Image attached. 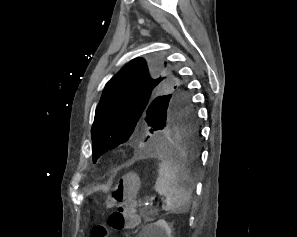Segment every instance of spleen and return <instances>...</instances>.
Here are the masks:
<instances>
[{"label": "spleen", "mask_w": 297, "mask_h": 237, "mask_svg": "<svg viewBox=\"0 0 297 237\" xmlns=\"http://www.w3.org/2000/svg\"><path fill=\"white\" fill-rule=\"evenodd\" d=\"M158 194L165 196L162 209L175 214L189 211L191 204V182L168 160L159 164V174L155 183Z\"/></svg>", "instance_id": "spleen-1"}]
</instances>
